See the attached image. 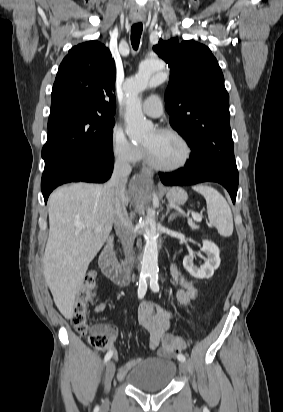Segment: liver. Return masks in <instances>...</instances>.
<instances>
[{"label": "liver", "mask_w": 283, "mask_h": 412, "mask_svg": "<svg viewBox=\"0 0 283 412\" xmlns=\"http://www.w3.org/2000/svg\"><path fill=\"white\" fill-rule=\"evenodd\" d=\"M113 202L114 190L108 183L71 184L58 188L49 197L50 228L43 274L57 308L66 319L73 316L75 296L89 263L112 230ZM124 202L125 205L129 202L125 194ZM98 227L101 230L96 231Z\"/></svg>", "instance_id": "6515ba94"}]
</instances>
